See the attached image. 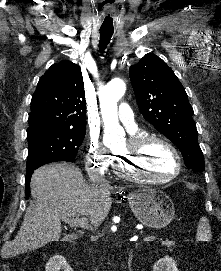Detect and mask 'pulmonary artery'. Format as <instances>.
<instances>
[{
  "mask_svg": "<svg viewBox=\"0 0 221 271\" xmlns=\"http://www.w3.org/2000/svg\"><path fill=\"white\" fill-rule=\"evenodd\" d=\"M124 106V103H121ZM120 116L119 122H124V127H136V112H133V107H118ZM128 133H139V128H128Z\"/></svg>",
  "mask_w": 221,
  "mask_h": 271,
  "instance_id": "1",
  "label": "pulmonary artery"
}]
</instances>
